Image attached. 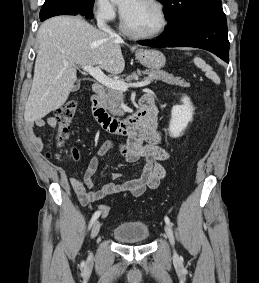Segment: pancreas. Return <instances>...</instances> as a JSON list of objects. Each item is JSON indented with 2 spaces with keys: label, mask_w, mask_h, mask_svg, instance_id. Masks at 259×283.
I'll use <instances>...</instances> for the list:
<instances>
[{
  "label": "pancreas",
  "mask_w": 259,
  "mask_h": 283,
  "mask_svg": "<svg viewBox=\"0 0 259 283\" xmlns=\"http://www.w3.org/2000/svg\"><path fill=\"white\" fill-rule=\"evenodd\" d=\"M145 74L148 75L150 80H161L162 82L176 85L180 87H189V83L185 80L173 77V75L168 74L165 71L161 70H145L141 72L140 70L133 72L129 75L125 81H132L137 75ZM124 98L123 92L117 89L108 88L107 93L102 97V103L105 108L113 115V116H123L124 111L121 107V102Z\"/></svg>",
  "instance_id": "1"
}]
</instances>
